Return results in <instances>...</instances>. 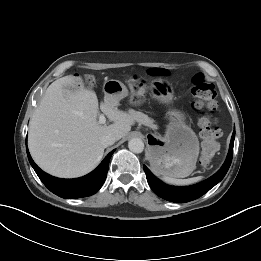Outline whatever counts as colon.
I'll list each match as a JSON object with an SVG mask.
<instances>
[{"label": "colon", "instance_id": "1", "mask_svg": "<svg viewBox=\"0 0 261 261\" xmlns=\"http://www.w3.org/2000/svg\"><path fill=\"white\" fill-rule=\"evenodd\" d=\"M193 110L199 115L200 136L202 138L201 159L210 160L218 150L217 140L221 130L216 125L214 114L217 110L216 91L214 85L207 82L202 73L192 77Z\"/></svg>", "mask_w": 261, "mask_h": 261}]
</instances>
